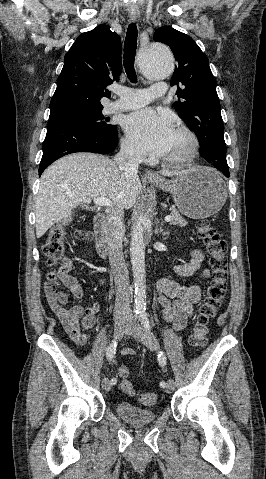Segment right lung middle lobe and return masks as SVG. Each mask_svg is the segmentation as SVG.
I'll use <instances>...</instances> for the list:
<instances>
[{"mask_svg":"<svg viewBox=\"0 0 266 479\" xmlns=\"http://www.w3.org/2000/svg\"><path fill=\"white\" fill-rule=\"evenodd\" d=\"M103 107L99 108H73L50 113V120H61L78 123L90 128L100 130H110L114 126L108 124L109 120L105 119L102 114Z\"/></svg>","mask_w":266,"mask_h":479,"instance_id":"right-lung-middle-lobe-1","label":"right lung middle lobe"}]
</instances>
